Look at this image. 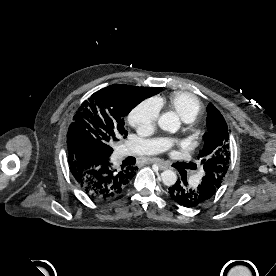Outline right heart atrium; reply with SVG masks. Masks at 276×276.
I'll return each mask as SVG.
<instances>
[{"label": "right heart atrium", "mask_w": 276, "mask_h": 276, "mask_svg": "<svg viewBox=\"0 0 276 276\" xmlns=\"http://www.w3.org/2000/svg\"><path fill=\"white\" fill-rule=\"evenodd\" d=\"M160 113V106L155 100H146L131 110L128 116L130 124L142 134L154 130Z\"/></svg>", "instance_id": "d8ad5b80"}]
</instances>
